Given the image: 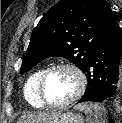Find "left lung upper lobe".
Instances as JSON below:
<instances>
[{
  "label": "left lung upper lobe",
  "instance_id": "1",
  "mask_svg": "<svg viewBox=\"0 0 122 123\" xmlns=\"http://www.w3.org/2000/svg\"><path fill=\"white\" fill-rule=\"evenodd\" d=\"M115 21L105 0H60L33 30L21 74L54 56L64 57L84 71L93 50Z\"/></svg>",
  "mask_w": 122,
  "mask_h": 123
}]
</instances>
